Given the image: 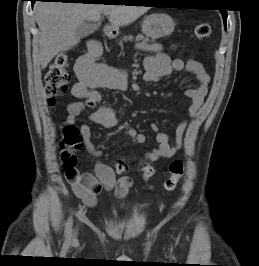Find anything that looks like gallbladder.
<instances>
[{
    "mask_svg": "<svg viewBox=\"0 0 259 266\" xmlns=\"http://www.w3.org/2000/svg\"><path fill=\"white\" fill-rule=\"evenodd\" d=\"M97 29V25L92 22H84L83 24L79 25L76 33L80 37H86L92 34Z\"/></svg>",
    "mask_w": 259,
    "mask_h": 266,
    "instance_id": "gallbladder-1",
    "label": "gallbladder"
}]
</instances>
